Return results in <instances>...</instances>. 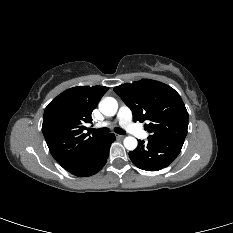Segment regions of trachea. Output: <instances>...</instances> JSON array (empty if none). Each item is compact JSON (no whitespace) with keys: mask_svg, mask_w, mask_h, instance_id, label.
<instances>
[{"mask_svg":"<svg viewBox=\"0 0 233 233\" xmlns=\"http://www.w3.org/2000/svg\"><path fill=\"white\" fill-rule=\"evenodd\" d=\"M114 131L120 135H124L126 133L123 129L118 128V127H116ZM108 132H109V129L107 127H104L101 129H91V133H94V134H106Z\"/></svg>","mask_w":233,"mask_h":233,"instance_id":"trachea-1","label":"trachea"}]
</instances>
